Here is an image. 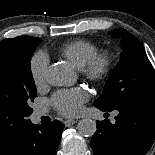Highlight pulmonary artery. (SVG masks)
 <instances>
[{
    "instance_id": "e3ab8cb5",
    "label": "pulmonary artery",
    "mask_w": 155,
    "mask_h": 155,
    "mask_svg": "<svg viewBox=\"0 0 155 155\" xmlns=\"http://www.w3.org/2000/svg\"><path fill=\"white\" fill-rule=\"evenodd\" d=\"M44 114H46V110H43V109H41V110H37L36 112H35V118H40L42 115H44Z\"/></svg>"
}]
</instances>
